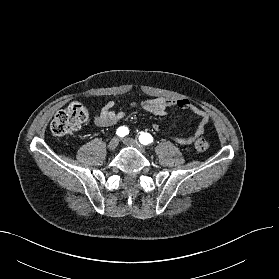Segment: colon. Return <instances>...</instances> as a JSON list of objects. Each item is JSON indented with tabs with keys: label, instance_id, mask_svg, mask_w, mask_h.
I'll return each mask as SVG.
<instances>
[{
	"label": "colon",
	"instance_id": "colon-1",
	"mask_svg": "<svg viewBox=\"0 0 279 279\" xmlns=\"http://www.w3.org/2000/svg\"><path fill=\"white\" fill-rule=\"evenodd\" d=\"M87 118L86 107L81 102L74 101L54 116L50 129L56 136L71 135L82 127ZM208 147L209 144L204 138H199L195 142V149L198 152H204Z\"/></svg>",
	"mask_w": 279,
	"mask_h": 279
}]
</instances>
